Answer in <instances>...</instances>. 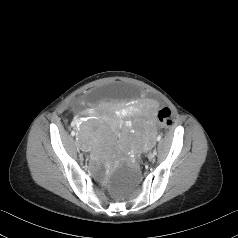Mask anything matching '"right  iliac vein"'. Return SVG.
<instances>
[{"instance_id":"63e3f726","label":"right iliac vein","mask_w":238,"mask_h":238,"mask_svg":"<svg viewBox=\"0 0 238 238\" xmlns=\"http://www.w3.org/2000/svg\"><path fill=\"white\" fill-rule=\"evenodd\" d=\"M76 151H77V153H80L79 147H76Z\"/></svg>"}]
</instances>
